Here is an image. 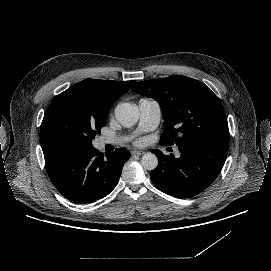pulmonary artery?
<instances>
[{"label":"pulmonary artery","mask_w":271,"mask_h":271,"mask_svg":"<svg viewBox=\"0 0 271 271\" xmlns=\"http://www.w3.org/2000/svg\"><path fill=\"white\" fill-rule=\"evenodd\" d=\"M140 109V129L147 131L155 128L160 120V106L158 102L148 99L141 98L139 100ZM124 139L110 138V137H99L94 142L96 149H102L108 144H117L122 142Z\"/></svg>","instance_id":"pulmonary-artery-1"}]
</instances>
